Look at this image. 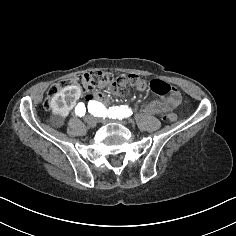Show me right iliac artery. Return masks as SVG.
Wrapping results in <instances>:
<instances>
[{
	"label": "right iliac artery",
	"mask_w": 236,
	"mask_h": 236,
	"mask_svg": "<svg viewBox=\"0 0 236 236\" xmlns=\"http://www.w3.org/2000/svg\"><path fill=\"white\" fill-rule=\"evenodd\" d=\"M85 112H86V108H85L84 103L82 102L78 103L77 106L75 107L76 115L82 117L85 115Z\"/></svg>",
	"instance_id": "82829eb1"
}]
</instances>
